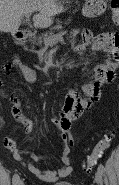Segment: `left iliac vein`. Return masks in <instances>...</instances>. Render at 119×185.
I'll use <instances>...</instances> for the list:
<instances>
[{
  "instance_id": "4c4485c4",
  "label": "left iliac vein",
  "mask_w": 119,
  "mask_h": 185,
  "mask_svg": "<svg viewBox=\"0 0 119 185\" xmlns=\"http://www.w3.org/2000/svg\"><path fill=\"white\" fill-rule=\"evenodd\" d=\"M95 181L98 185H102L103 182V175L102 172L97 170V172L95 173Z\"/></svg>"
}]
</instances>
